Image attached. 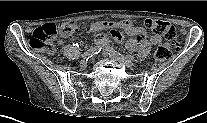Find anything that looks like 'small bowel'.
Masks as SVG:
<instances>
[{
  "label": "small bowel",
  "instance_id": "small-bowel-1",
  "mask_svg": "<svg viewBox=\"0 0 207 123\" xmlns=\"http://www.w3.org/2000/svg\"><path fill=\"white\" fill-rule=\"evenodd\" d=\"M103 31H109L118 42L122 39L120 31L129 36H135V38H131L126 42V47L131 51H135L139 45L144 44L146 39L153 45H160L162 43L160 36L151 34L144 26H136L129 20L98 21L84 29L85 33H97L96 44L108 48L109 37Z\"/></svg>",
  "mask_w": 207,
  "mask_h": 123
}]
</instances>
